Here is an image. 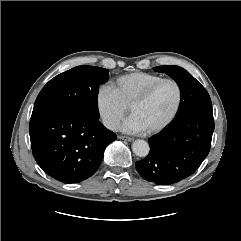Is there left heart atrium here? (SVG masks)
<instances>
[{
    "mask_svg": "<svg viewBox=\"0 0 241 241\" xmlns=\"http://www.w3.org/2000/svg\"><path fill=\"white\" fill-rule=\"evenodd\" d=\"M121 130L126 133H141L147 130L142 121L134 114L129 116L121 125Z\"/></svg>",
    "mask_w": 241,
    "mask_h": 241,
    "instance_id": "39dd6f15",
    "label": "left heart atrium"
}]
</instances>
